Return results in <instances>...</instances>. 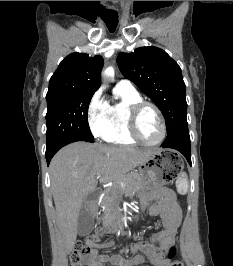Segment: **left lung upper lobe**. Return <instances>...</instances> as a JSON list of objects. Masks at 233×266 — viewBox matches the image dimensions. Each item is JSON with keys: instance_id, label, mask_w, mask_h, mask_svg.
<instances>
[{"instance_id": "left-lung-upper-lobe-1", "label": "left lung upper lobe", "mask_w": 233, "mask_h": 266, "mask_svg": "<svg viewBox=\"0 0 233 266\" xmlns=\"http://www.w3.org/2000/svg\"><path fill=\"white\" fill-rule=\"evenodd\" d=\"M117 64L125 78L134 82L161 110L167 132L186 119L185 83L179 65L160 48L140 47L120 53Z\"/></svg>"}]
</instances>
